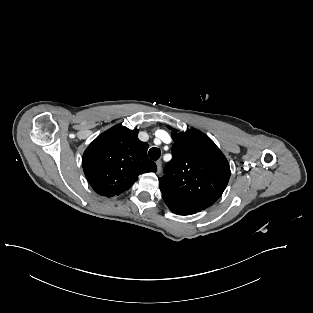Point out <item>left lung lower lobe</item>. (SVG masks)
I'll list each match as a JSON object with an SVG mask.
<instances>
[{"label":"left lung lower lobe","mask_w":313,"mask_h":313,"mask_svg":"<svg viewBox=\"0 0 313 313\" xmlns=\"http://www.w3.org/2000/svg\"><path fill=\"white\" fill-rule=\"evenodd\" d=\"M163 197V196H162ZM166 205L168 206V208L175 214L178 215H191V214H195L199 211L194 210L188 206H185L183 204H180L174 200H171L169 198L163 197Z\"/></svg>","instance_id":"1"}]
</instances>
